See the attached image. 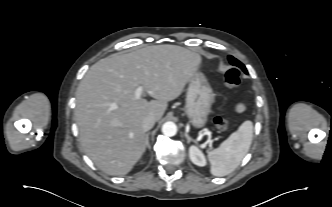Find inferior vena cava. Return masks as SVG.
<instances>
[{
  "label": "inferior vena cava",
  "instance_id": "1",
  "mask_svg": "<svg viewBox=\"0 0 332 207\" xmlns=\"http://www.w3.org/2000/svg\"><path fill=\"white\" fill-rule=\"evenodd\" d=\"M155 117L154 116H146L144 117V119L142 120V127L144 131H148L150 130L154 124H155Z\"/></svg>",
  "mask_w": 332,
  "mask_h": 207
}]
</instances>
